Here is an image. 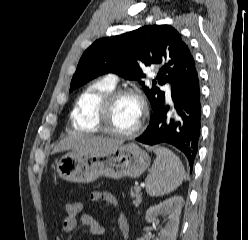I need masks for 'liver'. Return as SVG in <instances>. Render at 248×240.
I'll use <instances>...</instances> for the list:
<instances>
[{"label":"liver","mask_w":248,"mask_h":240,"mask_svg":"<svg viewBox=\"0 0 248 240\" xmlns=\"http://www.w3.org/2000/svg\"><path fill=\"white\" fill-rule=\"evenodd\" d=\"M122 143V141H117L109 138L94 137L88 135H75L63 139L54 147L52 153H57L65 150H73L85 153L98 152L117 147Z\"/></svg>","instance_id":"6515ba94"}]
</instances>
